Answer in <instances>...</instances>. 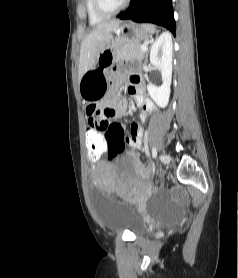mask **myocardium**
Returning a JSON list of instances; mask_svg holds the SVG:
<instances>
[{
    "label": "myocardium",
    "mask_w": 238,
    "mask_h": 278,
    "mask_svg": "<svg viewBox=\"0 0 238 278\" xmlns=\"http://www.w3.org/2000/svg\"><path fill=\"white\" fill-rule=\"evenodd\" d=\"M129 1L130 0H123L122 3L118 7L113 8V9H108L104 5L103 0H93V7H94L95 12L99 16L107 18V17H111V16L119 13L120 11H122L127 6Z\"/></svg>",
    "instance_id": "obj_1"
}]
</instances>
